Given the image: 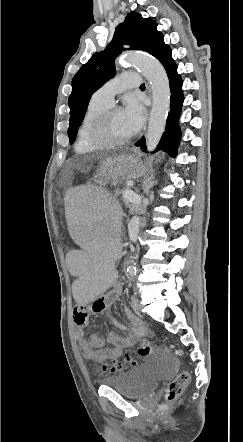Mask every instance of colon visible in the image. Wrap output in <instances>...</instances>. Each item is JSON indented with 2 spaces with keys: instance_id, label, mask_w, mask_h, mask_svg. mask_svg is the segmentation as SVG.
I'll list each match as a JSON object with an SVG mask.
<instances>
[{
  "instance_id": "obj_1",
  "label": "colon",
  "mask_w": 243,
  "mask_h": 442,
  "mask_svg": "<svg viewBox=\"0 0 243 442\" xmlns=\"http://www.w3.org/2000/svg\"><path fill=\"white\" fill-rule=\"evenodd\" d=\"M121 220H126V215H121ZM148 224L145 221L138 223V228L145 230L147 229ZM154 345L147 339H143L137 354L140 358H146L151 355L153 351ZM167 352H171V349L169 347H166ZM108 365L104 364L100 367V370L102 372H119L123 369L127 368L128 366L135 365V360L133 355L129 354L125 357L124 361L121 360L119 357H110L107 360ZM190 382V375L188 372L183 371L179 373L174 380H172L166 390V398L169 401H173L177 399L184 389L187 387V385Z\"/></svg>"
}]
</instances>
